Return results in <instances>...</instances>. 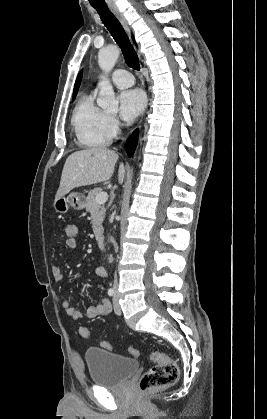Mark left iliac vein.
Masks as SVG:
<instances>
[{
	"label": "left iliac vein",
	"instance_id": "4c4485c4",
	"mask_svg": "<svg viewBox=\"0 0 267 419\" xmlns=\"http://www.w3.org/2000/svg\"><path fill=\"white\" fill-rule=\"evenodd\" d=\"M113 303H114V311L117 315H121L122 311H121V307L120 304L118 302V293L116 291L114 297H113Z\"/></svg>",
	"mask_w": 267,
	"mask_h": 419
}]
</instances>
